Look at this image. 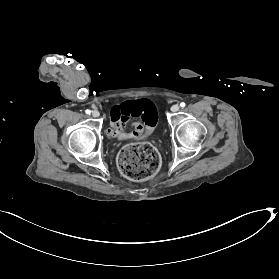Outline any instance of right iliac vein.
Returning <instances> with one entry per match:
<instances>
[{
	"mask_svg": "<svg viewBox=\"0 0 279 279\" xmlns=\"http://www.w3.org/2000/svg\"><path fill=\"white\" fill-rule=\"evenodd\" d=\"M99 115H100V113H99V111L98 110H94V111H92V116L93 117H99Z\"/></svg>",
	"mask_w": 279,
	"mask_h": 279,
	"instance_id": "1",
	"label": "right iliac vein"
}]
</instances>
